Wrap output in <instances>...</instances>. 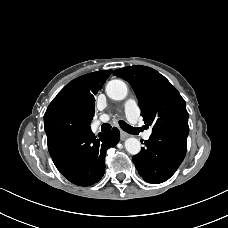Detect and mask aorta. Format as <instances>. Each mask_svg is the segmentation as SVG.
<instances>
[{
	"instance_id": "1",
	"label": "aorta",
	"mask_w": 228,
	"mask_h": 228,
	"mask_svg": "<svg viewBox=\"0 0 228 228\" xmlns=\"http://www.w3.org/2000/svg\"><path fill=\"white\" fill-rule=\"evenodd\" d=\"M106 93L113 100H123L128 93L127 85L122 80H111L106 85ZM125 148L128 153L136 155L141 150V143L136 138H128L125 141Z\"/></svg>"
}]
</instances>
